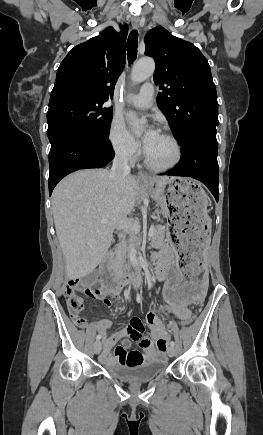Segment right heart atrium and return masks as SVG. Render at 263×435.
I'll return each mask as SVG.
<instances>
[{
	"label": "right heart atrium",
	"mask_w": 263,
	"mask_h": 435,
	"mask_svg": "<svg viewBox=\"0 0 263 435\" xmlns=\"http://www.w3.org/2000/svg\"><path fill=\"white\" fill-rule=\"evenodd\" d=\"M107 139L112 151L119 159L133 162L138 158L139 144L130 136L120 119L114 118L111 121Z\"/></svg>",
	"instance_id": "d8ad5b80"
}]
</instances>
